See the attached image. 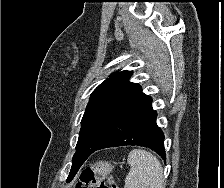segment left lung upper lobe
<instances>
[{
    "instance_id": "5c2ea615",
    "label": "left lung upper lobe",
    "mask_w": 224,
    "mask_h": 188,
    "mask_svg": "<svg viewBox=\"0 0 224 188\" xmlns=\"http://www.w3.org/2000/svg\"><path fill=\"white\" fill-rule=\"evenodd\" d=\"M131 71L113 73L91 94L81 121L73 161H82L115 126L123 113L144 95L138 84L129 82ZM78 166L71 168L75 172Z\"/></svg>"
}]
</instances>
